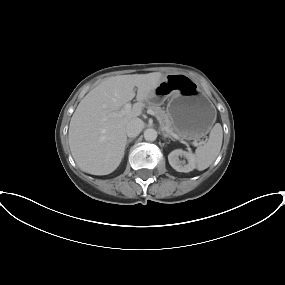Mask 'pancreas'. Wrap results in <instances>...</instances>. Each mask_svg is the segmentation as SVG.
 Segmentation results:
<instances>
[{
    "instance_id": "cf45deb5",
    "label": "pancreas",
    "mask_w": 285,
    "mask_h": 285,
    "mask_svg": "<svg viewBox=\"0 0 285 285\" xmlns=\"http://www.w3.org/2000/svg\"><path fill=\"white\" fill-rule=\"evenodd\" d=\"M148 109L154 111L158 115V117L160 118V120L164 126L168 127L169 130H171L172 132H176V129L172 125L170 117H169L168 113H166L165 110H163L161 107H159L157 105H149Z\"/></svg>"
}]
</instances>
